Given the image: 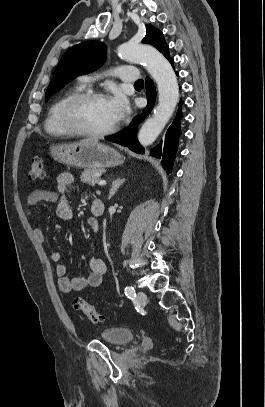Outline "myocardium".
<instances>
[{
    "instance_id": "myocardium-1",
    "label": "myocardium",
    "mask_w": 265,
    "mask_h": 407,
    "mask_svg": "<svg viewBox=\"0 0 265 407\" xmlns=\"http://www.w3.org/2000/svg\"><path fill=\"white\" fill-rule=\"evenodd\" d=\"M100 99H106V96L96 91H85L71 96L66 101L61 111V121L64 128L72 135L95 139L103 138L115 133L118 129L117 123L103 131H90L83 128L78 121L79 109L91 101Z\"/></svg>"
}]
</instances>
